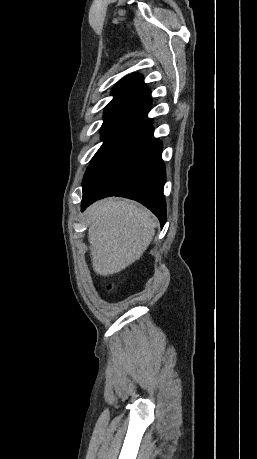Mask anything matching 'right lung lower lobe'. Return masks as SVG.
Here are the masks:
<instances>
[{"label": "right lung lower lobe", "instance_id": "98d812e1", "mask_svg": "<svg viewBox=\"0 0 257 459\" xmlns=\"http://www.w3.org/2000/svg\"><path fill=\"white\" fill-rule=\"evenodd\" d=\"M149 110L134 114L112 138L107 148L88 166L83 178L81 210L107 196L126 197L149 208L166 221L163 195L165 167L162 143L153 136Z\"/></svg>", "mask_w": 257, "mask_h": 459}]
</instances>
